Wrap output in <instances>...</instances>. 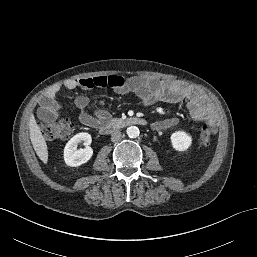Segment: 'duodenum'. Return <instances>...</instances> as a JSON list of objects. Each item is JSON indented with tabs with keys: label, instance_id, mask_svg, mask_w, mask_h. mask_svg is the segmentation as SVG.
<instances>
[{
	"label": "duodenum",
	"instance_id": "1",
	"mask_svg": "<svg viewBox=\"0 0 257 257\" xmlns=\"http://www.w3.org/2000/svg\"><path fill=\"white\" fill-rule=\"evenodd\" d=\"M146 123H147L146 120L141 117L131 116V117L116 118V119L108 120L102 123L99 129L103 134H110L115 130H118L127 126H131V125L145 126Z\"/></svg>",
	"mask_w": 257,
	"mask_h": 257
}]
</instances>
